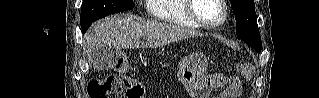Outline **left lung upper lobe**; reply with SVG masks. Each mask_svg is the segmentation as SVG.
Wrapping results in <instances>:
<instances>
[{"label":"left lung upper lobe","mask_w":319,"mask_h":98,"mask_svg":"<svg viewBox=\"0 0 319 98\" xmlns=\"http://www.w3.org/2000/svg\"><path fill=\"white\" fill-rule=\"evenodd\" d=\"M236 19V34L253 47L257 52L261 51V37L257 25L253 0H230Z\"/></svg>","instance_id":"obj_1"}]
</instances>
